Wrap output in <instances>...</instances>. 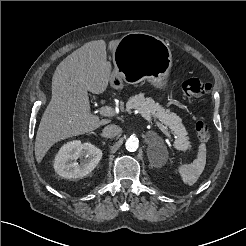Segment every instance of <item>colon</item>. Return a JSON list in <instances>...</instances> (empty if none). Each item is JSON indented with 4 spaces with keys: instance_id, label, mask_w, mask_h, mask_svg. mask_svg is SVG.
Masks as SVG:
<instances>
[{
    "instance_id": "obj_1",
    "label": "colon",
    "mask_w": 246,
    "mask_h": 246,
    "mask_svg": "<svg viewBox=\"0 0 246 246\" xmlns=\"http://www.w3.org/2000/svg\"><path fill=\"white\" fill-rule=\"evenodd\" d=\"M184 93L200 102L204 101V96L212 89V84L200 78H190L183 82ZM198 137L202 141H208L211 137L210 126L204 121L196 123Z\"/></svg>"
}]
</instances>
